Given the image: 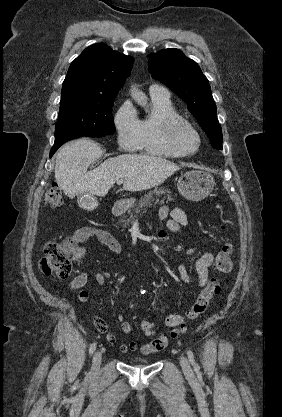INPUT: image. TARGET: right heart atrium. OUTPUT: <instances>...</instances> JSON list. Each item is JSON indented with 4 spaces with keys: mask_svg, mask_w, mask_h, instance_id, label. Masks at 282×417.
Returning <instances> with one entry per match:
<instances>
[{
    "mask_svg": "<svg viewBox=\"0 0 282 417\" xmlns=\"http://www.w3.org/2000/svg\"><path fill=\"white\" fill-rule=\"evenodd\" d=\"M118 133V142L122 148L128 151L141 147V138L137 117L132 113L128 103H124L114 119Z\"/></svg>",
    "mask_w": 282,
    "mask_h": 417,
    "instance_id": "d8ad5b80",
    "label": "right heart atrium"
}]
</instances>
